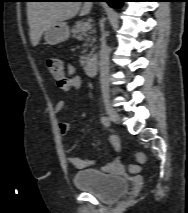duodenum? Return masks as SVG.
I'll return each instance as SVG.
<instances>
[{"mask_svg":"<svg viewBox=\"0 0 188 213\" xmlns=\"http://www.w3.org/2000/svg\"><path fill=\"white\" fill-rule=\"evenodd\" d=\"M97 63L94 60L87 61L85 64V72L88 76H95L97 73Z\"/></svg>","mask_w":188,"mask_h":213,"instance_id":"410a0bca","label":"duodenum"}]
</instances>
